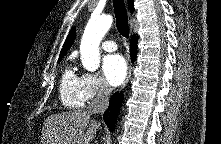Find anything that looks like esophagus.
<instances>
[{
    "label": "esophagus",
    "mask_w": 221,
    "mask_h": 144,
    "mask_svg": "<svg viewBox=\"0 0 221 144\" xmlns=\"http://www.w3.org/2000/svg\"><path fill=\"white\" fill-rule=\"evenodd\" d=\"M131 71H132V67L130 66L129 69H128V73H127L126 79H125L121 89H123L127 85V83L129 82L130 77H131Z\"/></svg>",
    "instance_id": "1"
}]
</instances>
